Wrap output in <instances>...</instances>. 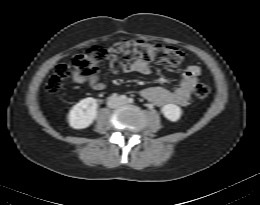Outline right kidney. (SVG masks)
<instances>
[{
  "instance_id": "obj_1",
  "label": "right kidney",
  "mask_w": 260,
  "mask_h": 205,
  "mask_svg": "<svg viewBox=\"0 0 260 205\" xmlns=\"http://www.w3.org/2000/svg\"><path fill=\"white\" fill-rule=\"evenodd\" d=\"M97 101L92 97L82 99L74 105L68 114L69 125L73 129L89 127L97 116Z\"/></svg>"
}]
</instances>
